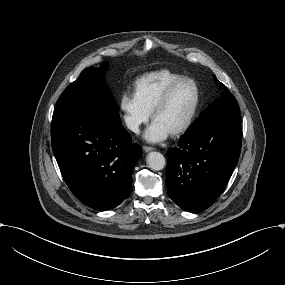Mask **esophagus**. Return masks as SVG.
Instances as JSON below:
<instances>
[{
    "label": "esophagus",
    "instance_id": "34e87169",
    "mask_svg": "<svg viewBox=\"0 0 285 285\" xmlns=\"http://www.w3.org/2000/svg\"><path fill=\"white\" fill-rule=\"evenodd\" d=\"M142 148H143V150H144L145 152H149V151L155 150L154 147H150V146H147V145H144Z\"/></svg>",
    "mask_w": 285,
    "mask_h": 285
}]
</instances>
